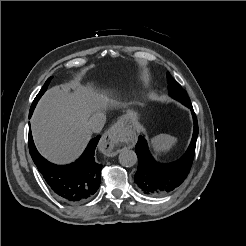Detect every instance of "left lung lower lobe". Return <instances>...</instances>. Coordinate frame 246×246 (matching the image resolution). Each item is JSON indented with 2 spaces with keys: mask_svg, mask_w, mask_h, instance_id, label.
<instances>
[{
  "mask_svg": "<svg viewBox=\"0 0 246 246\" xmlns=\"http://www.w3.org/2000/svg\"><path fill=\"white\" fill-rule=\"evenodd\" d=\"M184 105L191 109L194 131L187 151L179 160L168 164L157 162L150 154L145 137L140 135L138 138L135 151L139 162L135 183L147 195L158 196L174 190L186 179L190 171L195 155L198 123L191 102Z\"/></svg>",
  "mask_w": 246,
  "mask_h": 246,
  "instance_id": "obj_1",
  "label": "left lung lower lobe"
}]
</instances>
